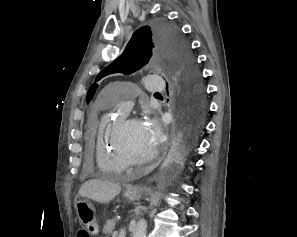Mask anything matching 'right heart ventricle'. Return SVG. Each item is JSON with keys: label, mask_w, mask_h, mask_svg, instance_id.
Listing matches in <instances>:
<instances>
[{"label": "right heart ventricle", "mask_w": 297, "mask_h": 237, "mask_svg": "<svg viewBox=\"0 0 297 237\" xmlns=\"http://www.w3.org/2000/svg\"><path fill=\"white\" fill-rule=\"evenodd\" d=\"M105 106L108 107V104H105ZM122 117L121 114H117L114 117L103 115L97 126L95 141L96 163L98 168L108 175L119 174L127 168L112 145L114 128Z\"/></svg>", "instance_id": "1"}]
</instances>
